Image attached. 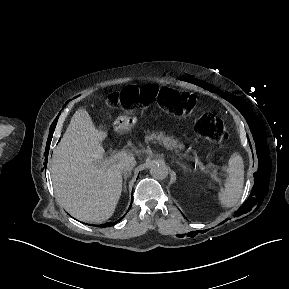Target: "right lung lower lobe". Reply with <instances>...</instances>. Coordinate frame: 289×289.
I'll use <instances>...</instances> for the list:
<instances>
[{
    "label": "right lung lower lobe",
    "mask_w": 289,
    "mask_h": 289,
    "mask_svg": "<svg viewBox=\"0 0 289 289\" xmlns=\"http://www.w3.org/2000/svg\"><path fill=\"white\" fill-rule=\"evenodd\" d=\"M131 207V206H130ZM118 222V221H117ZM117 222H115V223H117ZM115 223H108L107 225H103L104 227L105 226H111V225H114Z\"/></svg>",
    "instance_id": "1"
}]
</instances>
